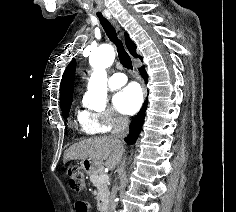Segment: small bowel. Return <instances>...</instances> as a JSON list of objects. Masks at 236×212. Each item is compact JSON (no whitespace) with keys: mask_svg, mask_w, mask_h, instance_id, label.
Segmentation results:
<instances>
[{"mask_svg":"<svg viewBox=\"0 0 236 212\" xmlns=\"http://www.w3.org/2000/svg\"><path fill=\"white\" fill-rule=\"evenodd\" d=\"M90 199H75V212H90Z\"/></svg>","mask_w":236,"mask_h":212,"instance_id":"1","label":"small bowel"}]
</instances>
